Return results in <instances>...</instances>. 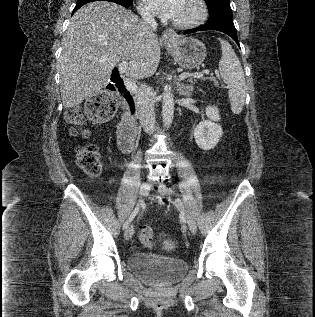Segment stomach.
I'll list each match as a JSON object with an SVG mask.
<instances>
[{
    "mask_svg": "<svg viewBox=\"0 0 315 317\" xmlns=\"http://www.w3.org/2000/svg\"><path fill=\"white\" fill-rule=\"evenodd\" d=\"M165 46L174 61L184 69L198 67L206 57V47L198 39L175 36L165 41Z\"/></svg>",
    "mask_w": 315,
    "mask_h": 317,
    "instance_id": "1",
    "label": "stomach"
}]
</instances>
